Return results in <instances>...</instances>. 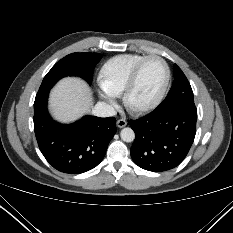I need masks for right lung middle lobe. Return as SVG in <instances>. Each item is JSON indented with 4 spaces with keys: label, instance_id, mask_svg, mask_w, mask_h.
<instances>
[{
    "label": "right lung middle lobe",
    "instance_id": "dd1d6c3e",
    "mask_svg": "<svg viewBox=\"0 0 233 233\" xmlns=\"http://www.w3.org/2000/svg\"><path fill=\"white\" fill-rule=\"evenodd\" d=\"M102 58L98 53H72L58 61L44 77L36 97L48 93L53 85L66 76H79L89 84L93 71Z\"/></svg>",
    "mask_w": 233,
    "mask_h": 233
}]
</instances>
